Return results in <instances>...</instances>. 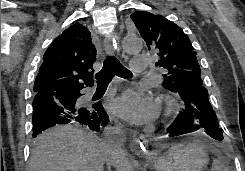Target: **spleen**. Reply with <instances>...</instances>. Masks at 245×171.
Instances as JSON below:
<instances>
[{"label": "spleen", "instance_id": "3e777b00", "mask_svg": "<svg viewBox=\"0 0 245 171\" xmlns=\"http://www.w3.org/2000/svg\"><path fill=\"white\" fill-rule=\"evenodd\" d=\"M211 171H228L226 166L218 159L213 160Z\"/></svg>", "mask_w": 245, "mask_h": 171}]
</instances>
